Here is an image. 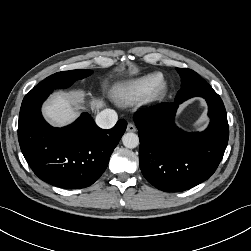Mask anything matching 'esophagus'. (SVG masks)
<instances>
[{"label": "esophagus", "mask_w": 251, "mask_h": 251, "mask_svg": "<svg viewBox=\"0 0 251 251\" xmlns=\"http://www.w3.org/2000/svg\"><path fill=\"white\" fill-rule=\"evenodd\" d=\"M136 127H135V125L134 124H132V123H129L128 125H127V131L128 132H136Z\"/></svg>", "instance_id": "obj_1"}]
</instances>
